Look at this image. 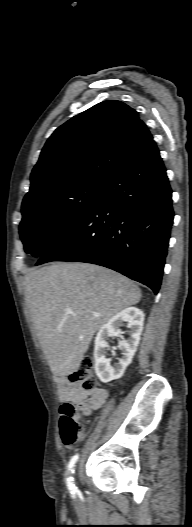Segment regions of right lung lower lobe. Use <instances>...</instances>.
Segmentation results:
<instances>
[{
  "label": "right lung lower lobe",
  "instance_id": "obj_1",
  "mask_svg": "<svg viewBox=\"0 0 192 527\" xmlns=\"http://www.w3.org/2000/svg\"><path fill=\"white\" fill-rule=\"evenodd\" d=\"M171 188L152 141L103 187L87 213L37 262H86L141 282L158 293L170 229Z\"/></svg>",
  "mask_w": 192,
  "mask_h": 527
}]
</instances>
